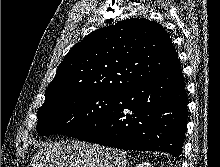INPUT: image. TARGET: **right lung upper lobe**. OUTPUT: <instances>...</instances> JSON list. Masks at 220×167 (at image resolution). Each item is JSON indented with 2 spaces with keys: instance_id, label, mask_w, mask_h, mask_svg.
Instances as JSON below:
<instances>
[{
  "instance_id": "1",
  "label": "right lung upper lobe",
  "mask_w": 220,
  "mask_h": 167,
  "mask_svg": "<svg viewBox=\"0 0 220 167\" xmlns=\"http://www.w3.org/2000/svg\"><path fill=\"white\" fill-rule=\"evenodd\" d=\"M178 68L166 29L144 18H130L96 30L73 46L47 88L45 101L78 90L118 93Z\"/></svg>"
}]
</instances>
